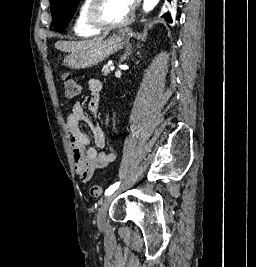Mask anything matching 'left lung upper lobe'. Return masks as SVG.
Returning <instances> with one entry per match:
<instances>
[{"mask_svg": "<svg viewBox=\"0 0 256 267\" xmlns=\"http://www.w3.org/2000/svg\"><path fill=\"white\" fill-rule=\"evenodd\" d=\"M80 0H50V9L54 28L61 31L67 26ZM167 22H172L169 12L162 16Z\"/></svg>", "mask_w": 256, "mask_h": 267, "instance_id": "obj_1", "label": "left lung upper lobe"}]
</instances>
